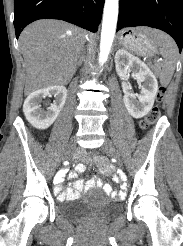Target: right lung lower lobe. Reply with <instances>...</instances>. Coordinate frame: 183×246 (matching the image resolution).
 <instances>
[{
	"instance_id": "98d812e1",
	"label": "right lung lower lobe",
	"mask_w": 183,
	"mask_h": 246,
	"mask_svg": "<svg viewBox=\"0 0 183 246\" xmlns=\"http://www.w3.org/2000/svg\"><path fill=\"white\" fill-rule=\"evenodd\" d=\"M104 0H14L16 38L31 22L38 19H59L91 32L101 22Z\"/></svg>"
}]
</instances>
